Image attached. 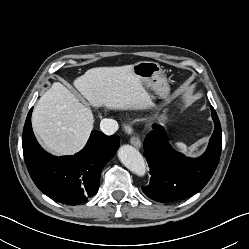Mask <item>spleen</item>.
Instances as JSON below:
<instances>
[{"label": "spleen", "mask_w": 249, "mask_h": 249, "mask_svg": "<svg viewBox=\"0 0 249 249\" xmlns=\"http://www.w3.org/2000/svg\"><path fill=\"white\" fill-rule=\"evenodd\" d=\"M174 146L179 152L187 154L188 156H193L198 151V148L195 145L187 147L181 142H176Z\"/></svg>", "instance_id": "3e777b00"}]
</instances>
